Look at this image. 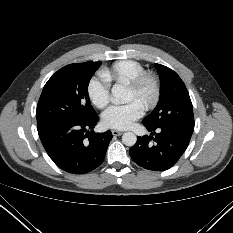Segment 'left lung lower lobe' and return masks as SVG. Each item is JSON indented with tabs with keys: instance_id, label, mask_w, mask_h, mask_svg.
I'll return each mask as SVG.
<instances>
[{
	"instance_id": "left-lung-lower-lobe-1",
	"label": "left lung lower lobe",
	"mask_w": 233,
	"mask_h": 233,
	"mask_svg": "<svg viewBox=\"0 0 233 233\" xmlns=\"http://www.w3.org/2000/svg\"><path fill=\"white\" fill-rule=\"evenodd\" d=\"M145 127L156 135L155 138L147 135L138 137L130 149V156L136 164L152 171L171 168L186 150L194 130L183 126Z\"/></svg>"
}]
</instances>
